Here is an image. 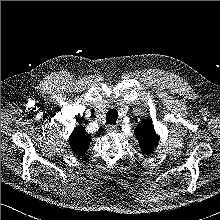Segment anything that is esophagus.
<instances>
[{
  "label": "esophagus",
  "mask_w": 220,
  "mask_h": 220,
  "mask_svg": "<svg viewBox=\"0 0 220 220\" xmlns=\"http://www.w3.org/2000/svg\"><path fill=\"white\" fill-rule=\"evenodd\" d=\"M105 129H106L107 132H116L117 127L115 125H107L105 127Z\"/></svg>",
  "instance_id": "esophagus-1"
}]
</instances>
